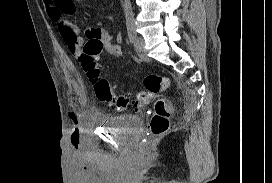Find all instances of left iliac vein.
Instances as JSON below:
<instances>
[{"instance_id":"obj_1","label":"left iliac vein","mask_w":272,"mask_h":183,"mask_svg":"<svg viewBox=\"0 0 272 183\" xmlns=\"http://www.w3.org/2000/svg\"><path fill=\"white\" fill-rule=\"evenodd\" d=\"M144 46H145V42L141 37H137L134 40V48L136 53L138 54V56L143 59V60H148L149 58L147 57V55L145 54V50H144Z\"/></svg>"}]
</instances>
